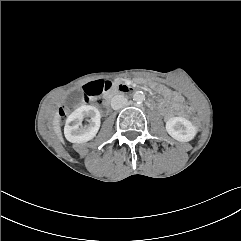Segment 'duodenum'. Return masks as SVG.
Returning <instances> with one entry per match:
<instances>
[{"mask_svg":"<svg viewBox=\"0 0 241 241\" xmlns=\"http://www.w3.org/2000/svg\"><path fill=\"white\" fill-rule=\"evenodd\" d=\"M108 93H107V98H110L113 94H115L116 92H120V93H126L130 90V87L124 83L119 84L114 86L113 88H111V84L109 86V88L107 89ZM107 100L105 101L104 105L107 106Z\"/></svg>","mask_w":241,"mask_h":241,"instance_id":"1","label":"duodenum"}]
</instances>
